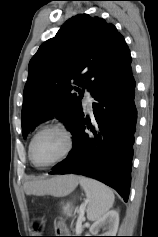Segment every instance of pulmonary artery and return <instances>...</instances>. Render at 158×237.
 I'll return each instance as SVG.
<instances>
[{"instance_id": "obj_1", "label": "pulmonary artery", "mask_w": 158, "mask_h": 237, "mask_svg": "<svg viewBox=\"0 0 158 237\" xmlns=\"http://www.w3.org/2000/svg\"><path fill=\"white\" fill-rule=\"evenodd\" d=\"M86 105H87V108H88L89 110L92 109V101H91V100H88L87 103H86Z\"/></svg>"}]
</instances>
